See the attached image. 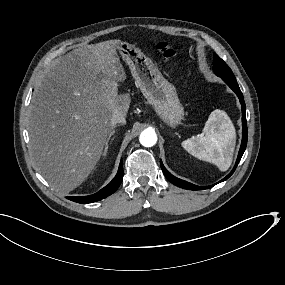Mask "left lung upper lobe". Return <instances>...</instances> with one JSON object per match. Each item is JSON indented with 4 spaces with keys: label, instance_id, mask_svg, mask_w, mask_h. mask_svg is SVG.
Returning <instances> with one entry per match:
<instances>
[{
    "label": "left lung upper lobe",
    "instance_id": "1",
    "mask_svg": "<svg viewBox=\"0 0 285 285\" xmlns=\"http://www.w3.org/2000/svg\"><path fill=\"white\" fill-rule=\"evenodd\" d=\"M213 65L214 73L217 76L221 77L223 80L235 79L231 69L217 54H214Z\"/></svg>",
    "mask_w": 285,
    "mask_h": 285
}]
</instances>
